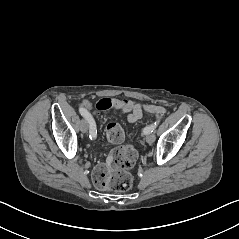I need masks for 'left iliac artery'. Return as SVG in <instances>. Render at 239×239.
<instances>
[{"label":"left iliac artery","instance_id":"left-iliac-artery-1","mask_svg":"<svg viewBox=\"0 0 239 239\" xmlns=\"http://www.w3.org/2000/svg\"><path fill=\"white\" fill-rule=\"evenodd\" d=\"M158 124H159V121H156L154 124H151V125L145 127L143 130L144 134L152 133L156 129Z\"/></svg>","mask_w":239,"mask_h":239}]
</instances>
